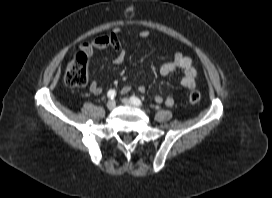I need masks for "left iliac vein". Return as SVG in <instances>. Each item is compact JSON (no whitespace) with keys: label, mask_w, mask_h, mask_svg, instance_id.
<instances>
[{"label":"left iliac vein","mask_w":272,"mask_h":198,"mask_svg":"<svg viewBox=\"0 0 272 198\" xmlns=\"http://www.w3.org/2000/svg\"><path fill=\"white\" fill-rule=\"evenodd\" d=\"M122 102H123L125 105H129V106H132V105H133L132 102H131V100L128 99V98H123V99H122Z\"/></svg>","instance_id":"4c4485c4"}]
</instances>
